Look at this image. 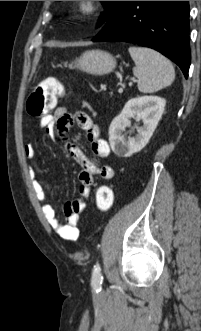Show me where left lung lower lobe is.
<instances>
[{"label": "left lung lower lobe", "instance_id": "left-lung-lower-lobe-1", "mask_svg": "<svg viewBox=\"0 0 201 331\" xmlns=\"http://www.w3.org/2000/svg\"><path fill=\"white\" fill-rule=\"evenodd\" d=\"M92 41H123L155 49L188 77V1H121Z\"/></svg>", "mask_w": 201, "mask_h": 331}]
</instances>
